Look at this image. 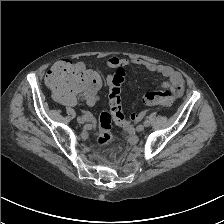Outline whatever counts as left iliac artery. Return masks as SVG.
<instances>
[{
	"label": "left iliac artery",
	"instance_id": "1",
	"mask_svg": "<svg viewBox=\"0 0 224 224\" xmlns=\"http://www.w3.org/2000/svg\"><path fill=\"white\" fill-rule=\"evenodd\" d=\"M143 124H144V126H145V127H148V126L150 125V123H149V121H148V120L144 121V123H143Z\"/></svg>",
	"mask_w": 224,
	"mask_h": 224
}]
</instances>
